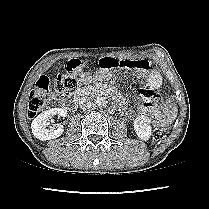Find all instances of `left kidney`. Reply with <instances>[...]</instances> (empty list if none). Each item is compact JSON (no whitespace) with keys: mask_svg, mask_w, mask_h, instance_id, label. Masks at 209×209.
Returning a JSON list of instances; mask_svg holds the SVG:
<instances>
[{"mask_svg":"<svg viewBox=\"0 0 209 209\" xmlns=\"http://www.w3.org/2000/svg\"><path fill=\"white\" fill-rule=\"evenodd\" d=\"M149 121V118L144 115L138 116L134 120V130L137 136L144 141L149 140L152 134V127Z\"/></svg>","mask_w":209,"mask_h":209,"instance_id":"obj_1","label":"left kidney"}]
</instances>
